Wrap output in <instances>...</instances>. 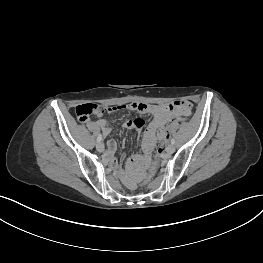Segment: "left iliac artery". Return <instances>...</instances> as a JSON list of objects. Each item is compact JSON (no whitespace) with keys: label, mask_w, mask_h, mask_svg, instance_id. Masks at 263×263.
Here are the masks:
<instances>
[{"label":"left iliac artery","mask_w":263,"mask_h":263,"mask_svg":"<svg viewBox=\"0 0 263 263\" xmlns=\"http://www.w3.org/2000/svg\"><path fill=\"white\" fill-rule=\"evenodd\" d=\"M171 144H175V140L174 139H171Z\"/></svg>","instance_id":"left-iliac-artery-1"}]
</instances>
